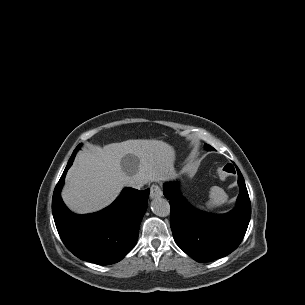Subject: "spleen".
I'll return each mask as SVG.
<instances>
[{
	"label": "spleen",
	"instance_id": "obj_1",
	"mask_svg": "<svg viewBox=\"0 0 305 305\" xmlns=\"http://www.w3.org/2000/svg\"><path fill=\"white\" fill-rule=\"evenodd\" d=\"M225 202L224 192L219 187H212L210 191V201L207 202L208 208L222 205Z\"/></svg>",
	"mask_w": 305,
	"mask_h": 305
}]
</instances>
